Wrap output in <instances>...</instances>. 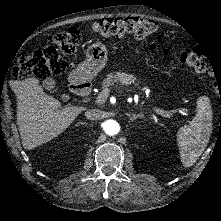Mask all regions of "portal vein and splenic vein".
I'll return each mask as SVG.
<instances>
[{
	"instance_id": "1",
	"label": "portal vein and splenic vein",
	"mask_w": 221,
	"mask_h": 221,
	"mask_svg": "<svg viewBox=\"0 0 221 221\" xmlns=\"http://www.w3.org/2000/svg\"><path fill=\"white\" fill-rule=\"evenodd\" d=\"M113 86H108V88L107 89H105L100 95H99V97L97 98V101L99 102V103H102L103 101H104V99L110 94V92L111 91H113ZM122 92H126V93H131V95H136V90H131V88H127V87H122ZM157 113L158 114H160L161 116H163V117H168V118H170L172 115H171V113L170 112H168V111H164V110H158L157 111Z\"/></svg>"
}]
</instances>
